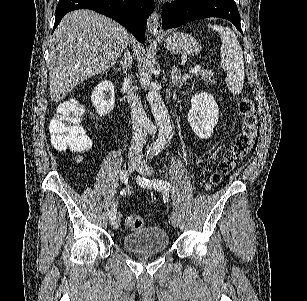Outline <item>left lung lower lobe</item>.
I'll return each instance as SVG.
<instances>
[{"instance_id": "left-lung-lower-lobe-1", "label": "left lung lower lobe", "mask_w": 307, "mask_h": 301, "mask_svg": "<svg viewBox=\"0 0 307 301\" xmlns=\"http://www.w3.org/2000/svg\"><path fill=\"white\" fill-rule=\"evenodd\" d=\"M208 17L227 19L242 33L240 14L233 0H177L166 3L162 8V27L175 28Z\"/></svg>"}]
</instances>
